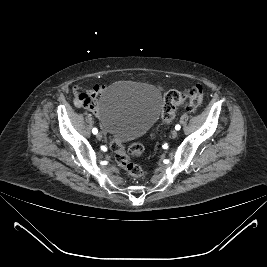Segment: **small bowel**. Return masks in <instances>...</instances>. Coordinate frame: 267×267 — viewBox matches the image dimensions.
Masks as SVG:
<instances>
[{"instance_id":"obj_1","label":"small bowel","mask_w":267,"mask_h":267,"mask_svg":"<svg viewBox=\"0 0 267 267\" xmlns=\"http://www.w3.org/2000/svg\"><path fill=\"white\" fill-rule=\"evenodd\" d=\"M102 91L103 87L98 84L88 90L77 89L75 92V103L78 106L97 113L98 107L95 100Z\"/></svg>"}]
</instances>
